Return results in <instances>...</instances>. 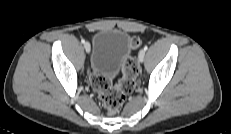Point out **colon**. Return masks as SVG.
Instances as JSON below:
<instances>
[{
	"label": "colon",
	"mask_w": 231,
	"mask_h": 134,
	"mask_svg": "<svg viewBox=\"0 0 231 134\" xmlns=\"http://www.w3.org/2000/svg\"><path fill=\"white\" fill-rule=\"evenodd\" d=\"M140 44L138 38H132L133 49L138 48ZM138 71L136 60L132 56H128L123 65V79L118 84L112 85L106 78L97 74L90 75V84L109 113H116L123 105L127 95L133 91Z\"/></svg>",
	"instance_id": "colon-1"
}]
</instances>
